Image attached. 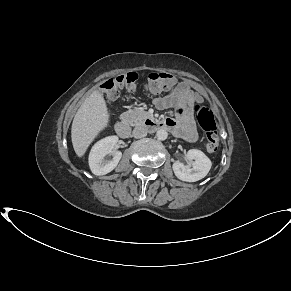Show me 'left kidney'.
Returning <instances> with one entry per match:
<instances>
[{
    "label": "left kidney",
    "instance_id": "left-kidney-1",
    "mask_svg": "<svg viewBox=\"0 0 291 291\" xmlns=\"http://www.w3.org/2000/svg\"><path fill=\"white\" fill-rule=\"evenodd\" d=\"M190 164L184 165L181 162H174L172 165L174 174L182 181L196 182L204 178L211 169L210 159L200 150L190 149L187 152Z\"/></svg>",
    "mask_w": 291,
    "mask_h": 291
}]
</instances>
